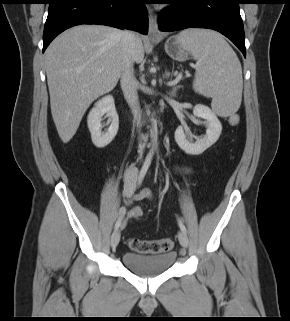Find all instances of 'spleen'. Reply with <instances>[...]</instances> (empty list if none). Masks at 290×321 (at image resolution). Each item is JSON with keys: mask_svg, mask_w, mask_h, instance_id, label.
I'll use <instances>...</instances> for the list:
<instances>
[{"mask_svg": "<svg viewBox=\"0 0 290 321\" xmlns=\"http://www.w3.org/2000/svg\"><path fill=\"white\" fill-rule=\"evenodd\" d=\"M177 39L197 60L194 90L212 98L211 107L219 116L234 114L241 105L243 78L230 45L220 34L206 29L181 31Z\"/></svg>", "mask_w": 290, "mask_h": 321, "instance_id": "spleen-1", "label": "spleen"}]
</instances>
